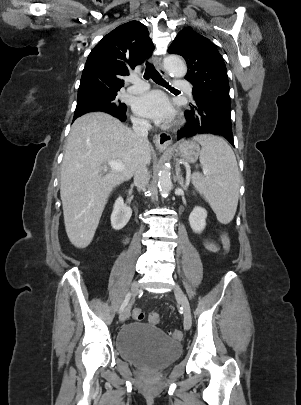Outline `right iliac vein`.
Listing matches in <instances>:
<instances>
[{
    "label": "right iliac vein",
    "mask_w": 301,
    "mask_h": 405,
    "mask_svg": "<svg viewBox=\"0 0 301 405\" xmlns=\"http://www.w3.org/2000/svg\"><path fill=\"white\" fill-rule=\"evenodd\" d=\"M138 292H139V283L137 281H134L131 286L132 297H135L138 294ZM130 310H131V303L128 304L120 314L119 319L121 322H124L128 318Z\"/></svg>",
    "instance_id": "obj_1"
}]
</instances>
